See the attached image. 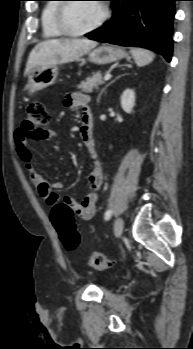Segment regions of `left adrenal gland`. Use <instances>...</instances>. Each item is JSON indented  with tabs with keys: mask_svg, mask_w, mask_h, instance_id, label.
<instances>
[{
	"mask_svg": "<svg viewBox=\"0 0 193 349\" xmlns=\"http://www.w3.org/2000/svg\"><path fill=\"white\" fill-rule=\"evenodd\" d=\"M114 81H112L111 83L107 84L100 92L99 96H98V102L100 101L101 95L103 94V92L106 90V88L111 85Z\"/></svg>",
	"mask_w": 193,
	"mask_h": 349,
	"instance_id": "left-adrenal-gland-1",
	"label": "left adrenal gland"
}]
</instances>
